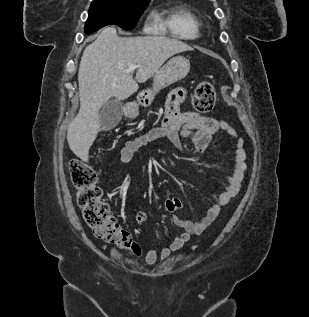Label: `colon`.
I'll list each match as a JSON object with an SVG mask.
<instances>
[{
  "label": "colon",
  "instance_id": "1",
  "mask_svg": "<svg viewBox=\"0 0 309 317\" xmlns=\"http://www.w3.org/2000/svg\"><path fill=\"white\" fill-rule=\"evenodd\" d=\"M216 94L213 85L204 81L197 85L192 105L198 112H210L215 105ZM69 172L74 187L78 190L77 202L87 225L100 239L128 250L139 256L141 249L129 232L123 229L113 217L109 205L102 199V190L97 185L96 172L79 159L69 164Z\"/></svg>",
  "mask_w": 309,
  "mask_h": 317
}]
</instances>
